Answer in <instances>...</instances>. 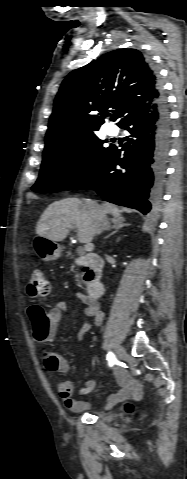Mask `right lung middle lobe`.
Listing matches in <instances>:
<instances>
[{"instance_id": "1", "label": "right lung middle lobe", "mask_w": 187, "mask_h": 479, "mask_svg": "<svg viewBox=\"0 0 187 479\" xmlns=\"http://www.w3.org/2000/svg\"><path fill=\"white\" fill-rule=\"evenodd\" d=\"M96 131L54 148L46 149L40 175L32 187L36 192L72 190L84 181L108 156Z\"/></svg>"}]
</instances>
